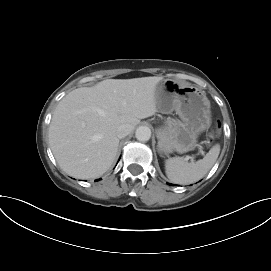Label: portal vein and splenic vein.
Here are the masks:
<instances>
[{"mask_svg":"<svg viewBox=\"0 0 271 271\" xmlns=\"http://www.w3.org/2000/svg\"><path fill=\"white\" fill-rule=\"evenodd\" d=\"M201 153L204 154V151L201 150ZM189 159H190L191 161H193V158H192L191 156L187 155V156L185 157V160L188 161Z\"/></svg>","mask_w":271,"mask_h":271,"instance_id":"1","label":"portal vein and splenic vein"}]
</instances>
